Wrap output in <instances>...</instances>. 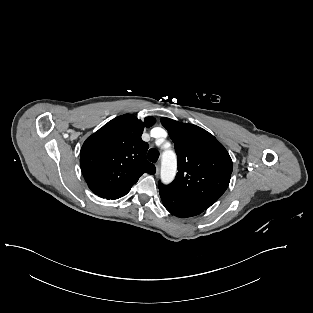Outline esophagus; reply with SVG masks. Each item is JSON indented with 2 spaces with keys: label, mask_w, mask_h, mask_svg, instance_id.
Segmentation results:
<instances>
[{
  "label": "esophagus",
  "mask_w": 313,
  "mask_h": 313,
  "mask_svg": "<svg viewBox=\"0 0 313 313\" xmlns=\"http://www.w3.org/2000/svg\"><path fill=\"white\" fill-rule=\"evenodd\" d=\"M155 167H156V175H158L160 171V163H157Z\"/></svg>",
  "instance_id": "esophagus-1"
}]
</instances>
